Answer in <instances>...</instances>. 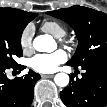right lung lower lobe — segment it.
<instances>
[{
  "mask_svg": "<svg viewBox=\"0 0 107 107\" xmlns=\"http://www.w3.org/2000/svg\"><path fill=\"white\" fill-rule=\"evenodd\" d=\"M22 70V65L11 67ZM9 68L0 67V107H29L33 101L34 84L41 77L34 71H29L24 77L9 80L5 70Z\"/></svg>",
  "mask_w": 107,
  "mask_h": 107,
  "instance_id": "obj_1",
  "label": "right lung lower lobe"
}]
</instances>
